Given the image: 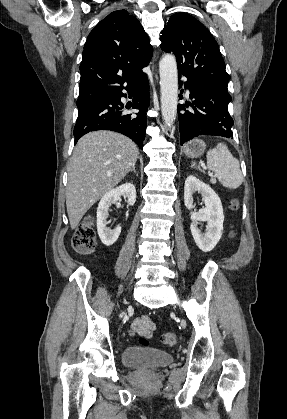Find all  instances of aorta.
<instances>
[{
    "label": "aorta",
    "instance_id": "762f6f07",
    "mask_svg": "<svg viewBox=\"0 0 287 419\" xmlns=\"http://www.w3.org/2000/svg\"><path fill=\"white\" fill-rule=\"evenodd\" d=\"M161 112L164 124L171 127L177 115L178 74L177 63L173 55H164L159 62Z\"/></svg>",
    "mask_w": 287,
    "mask_h": 419
}]
</instances>
